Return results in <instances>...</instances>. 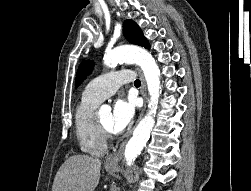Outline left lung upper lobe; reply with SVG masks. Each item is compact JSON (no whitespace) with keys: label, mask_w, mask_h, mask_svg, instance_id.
<instances>
[{"label":"left lung upper lobe","mask_w":251,"mask_h":191,"mask_svg":"<svg viewBox=\"0 0 251 191\" xmlns=\"http://www.w3.org/2000/svg\"><path fill=\"white\" fill-rule=\"evenodd\" d=\"M123 34L132 44L144 46L145 48L150 47L139 26L132 20H126L123 23ZM92 67L93 63L91 61H83L81 63L76 74L75 87H78L81 84L91 71Z\"/></svg>","instance_id":"left-lung-upper-lobe-1"}]
</instances>
